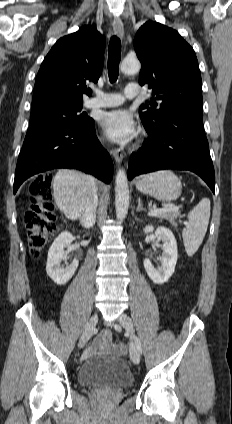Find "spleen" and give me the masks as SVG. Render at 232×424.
Instances as JSON below:
<instances>
[{"mask_svg":"<svg viewBox=\"0 0 232 424\" xmlns=\"http://www.w3.org/2000/svg\"><path fill=\"white\" fill-rule=\"evenodd\" d=\"M210 200L203 198L189 213L187 226L182 231L183 242L188 256L200 247L209 223Z\"/></svg>","mask_w":232,"mask_h":424,"instance_id":"obj_1","label":"spleen"}]
</instances>
